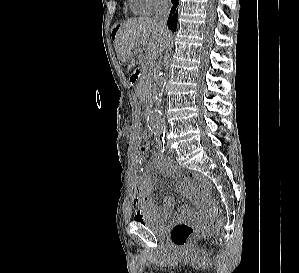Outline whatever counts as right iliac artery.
<instances>
[{
	"label": "right iliac artery",
	"instance_id": "1",
	"mask_svg": "<svg viewBox=\"0 0 299 273\" xmlns=\"http://www.w3.org/2000/svg\"><path fill=\"white\" fill-rule=\"evenodd\" d=\"M156 148L158 149L159 152L164 153V151H165V142H158L156 144Z\"/></svg>",
	"mask_w": 299,
	"mask_h": 273
}]
</instances>
